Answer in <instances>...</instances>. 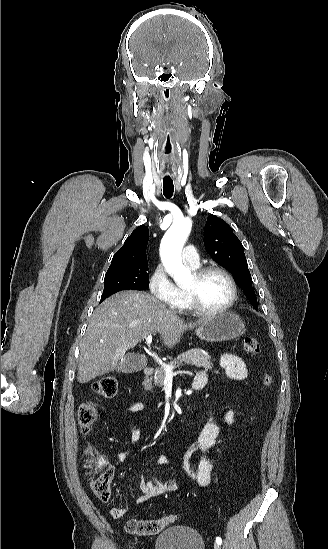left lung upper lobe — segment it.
Masks as SVG:
<instances>
[{
	"mask_svg": "<svg viewBox=\"0 0 328 549\" xmlns=\"http://www.w3.org/2000/svg\"><path fill=\"white\" fill-rule=\"evenodd\" d=\"M204 245L213 259L234 275L257 309V298L252 288V279L243 246L232 228L224 220L210 215L205 226Z\"/></svg>",
	"mask_w": 328,
	"mask_h": 549,
	"instance_id": "5c2ea615",
	"label": "left lung upper lobe"
}]
</instances>
